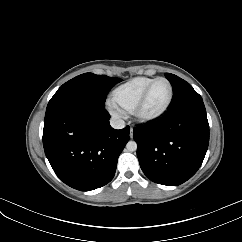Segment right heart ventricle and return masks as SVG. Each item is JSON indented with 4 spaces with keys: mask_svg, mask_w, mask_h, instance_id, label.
<instances>
[{
    "mask_svg": "<svg viewBox=\"0 0 242 242\" xmlns=\"http://www.w3.org/2000/svg\"><path fill=\"white\" fill-rule=\"evenodd\" d=\"M153 80L151 77H136L120 86L112 92L114 106L125 114H130L146 86Z\"/></svg>",
    "mask_w": 242,
    "mask_h": 242,
    "instance_id": "e07e8e85",
    "label": "right heart ventricle"
}]
</instances>
